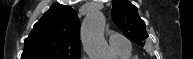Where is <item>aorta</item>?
I'll use <instances>...</instances> for the list:
<instances>
[{
    "mask_svg": "<svg viewBox=\"0 0 193 59\" xmlns=\"http://www.w3.org/2000/svg\"><path fill=\"white\" fill-rule=\"evenodd\" d=\"M105 17L100 11L91 12L82 24V40L90 59H114L104 39Z\"/></svg>",
    "mask_w": 193,
    "mask_h": 59,
    "instance_id": "1",
    "label": "aorta"
}]
</instances>
